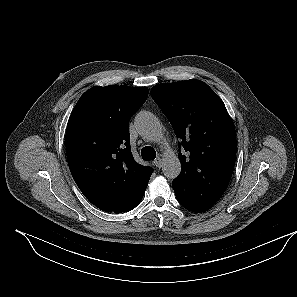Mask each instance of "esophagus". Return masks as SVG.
I'll return each instance as SVG.
<instances>
[{"instance_id": "34e87169", "label": "esophagus", "mask_w": 297, "mask_h": 297, "mask_svg": "<svg viewBox=\"0 0 297 297\" xmlns=\"http://www.w3.org/2000/svg\"><path fill=\"white\" fill-rule=\"evenodd\" d=\"M154 164H155V166L157 167V168H161L162 167V165H163V160H162V158H160V157H158V158H156L155 160H154Z\"/></svg>"}]
</instances>
